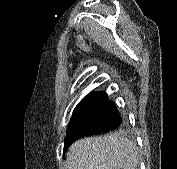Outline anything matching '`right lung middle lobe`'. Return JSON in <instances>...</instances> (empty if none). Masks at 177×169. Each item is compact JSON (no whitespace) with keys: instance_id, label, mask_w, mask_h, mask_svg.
I'll return each instance as SVG.
<instances>
[{"instance_id":"right-lung-middle-lobe-1","label":"right lung middle lobe","mask_w":177,"mask_h":169,"mask_svg":"<svg viewBox=\"0 0 177 169\" xmlns=\"http://www.w3.org/2000/svg\"><path fill=\"white\" fill-rule=\"evenodd\" d=\"M89 102V97L87 96L86 98H84L75 108L74 112H73V117L77 116L88 104Z\"/></svg>"}]
</instances>
